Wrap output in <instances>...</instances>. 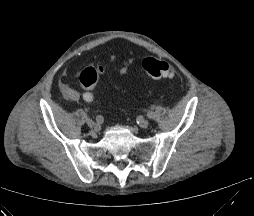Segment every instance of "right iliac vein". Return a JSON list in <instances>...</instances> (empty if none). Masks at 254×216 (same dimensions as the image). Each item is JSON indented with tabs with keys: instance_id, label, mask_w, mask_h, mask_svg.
I'll return each mask as SVG.
<instances>
[{
	"instance_id": "right-iliac-vein-1",
	"label": "right iliac vein",
	"mask_w": 254,
	"mask_h": 216,
	"mask_svg": "<svg viewBox=\"0 0 254 216\" xmlns=\"http://www.w3.org/2000/svg\"><path fill=\"white\" fill-rule=\"evenodd\" d=\"M86 124H87L88 127H90V128H97V124H96L92 119H87V120H86Z\"/></svg>"
}]
</instances>
